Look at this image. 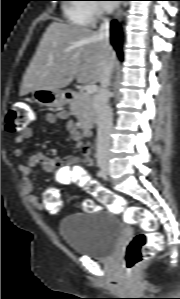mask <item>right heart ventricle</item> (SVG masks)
<instances>
[{
  "instance_id": "1",
  "label": "right heart ventricle",
  "mask_w": 180,
  "mask_h": 299,
  "mask_svg": "<svg viewBox=\"0 0 180 299\" xmlns=\"http://www.w3.org/2000/svg\"><path fill=\"white\" fill-rule=\"evenodd\" d=\"M77 1V0H74ZM87 4H70L65 8L68 21L76 26H89L93 19L89 13Z\"/></svg>"
}]
</instances>
